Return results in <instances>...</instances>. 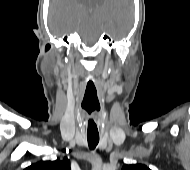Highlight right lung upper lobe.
Instances as JSON below:
<instances>
[{
  "label": "right lung upper lobe",
  "instance_id": "right-lung-upper-lobe-1",
  "mask_svg": "<svg viewBox=\"0 0 190 170\" xmlns=\"http://www.w3.org/2000/svg\"><path fill=\"white\" fill-rule=\"evenodd\" d=\"M24 170H70V160L65 157L63 160L40 161Z\"/></svg>",
  "mask_w": 190,
  "mask_h": 170
}]
</instances>
